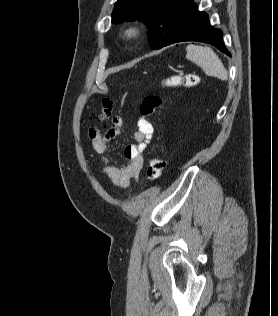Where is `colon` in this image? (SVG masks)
<instances>
[{"instance_id": "obj_1", "label": "colon", "mask_w": 278, "mask_h": 316, "mask_svg": "<svg viewBox=\"0 0 278 316\" xmlns=\"http://www.w3.org/2000/svg\"><path fill=\"white\" fill-rule=\"evenodd\" d=\"M171 82H174L173 80ZM181 86L185 88H192L198 83V76L195 74H186L179 80H176ZM164 103V100L159 95H148L144 98L141 106L140 113L143 117L150 116L157 108L161 107ZM112 112V102L109 99L103 101V106L101 111L92 116V118L98 121L107 120ZM165 167V162L161 157L155 156L149 160L147 167V177L150 180L158 179Z\"/></svg>"}]
</instances>
